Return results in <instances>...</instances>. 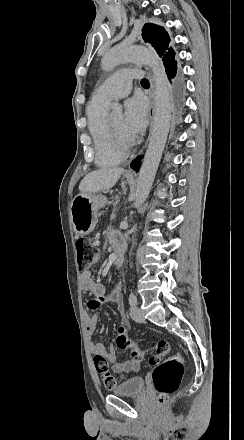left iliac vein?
Wrapping results in <instances>:
<instances>
[{
	"instance_id": "4c4485c4",
	"label": "left iliac vein",
	"mask_w": 244,
	"mask_h": 440,
	"mask_svg": "<svg viewBox=\"0 0 244 440\" xmlns=\"http://www.w3.org/2000/svg\"><path fill=\"white\" fill-rule=\"evenodd\" d=\"M130 316L135 322L142 323L144 321L142 310L138 306L134 305L130 308Z\"/></svg>"
}]
</instances>
